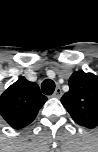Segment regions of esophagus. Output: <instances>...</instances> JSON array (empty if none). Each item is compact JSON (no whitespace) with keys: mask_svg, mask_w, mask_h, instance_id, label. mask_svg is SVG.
<instances>
[{"mask_svg":"<svg viewBox=\"0 0 98 152\" xmlns=\"http://www.w3.org/2000/svg\"><path fill=\"white\" fill-rule=\"evenodd\" d=\"M61 95H62V90H61V88L58 86V87L55 89V91H54V93H53V96L56 97V98H60Z\"/></svg>","mask_w":98,"mask_h":152,"instance_id":"1","label":"esophagus"}]
</instances>
